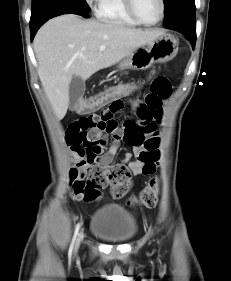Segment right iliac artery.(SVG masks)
Here are the masks:
<instances>
[{
    "mask_svg": "<svg viewBox=\"0 0 231 281\" xmlns=\"http://www.w3.org/2000/svg\"><path fill=\"white\" fill-rule=\"evenodd\" d=\"M80 226H81V223H78L75 227L74 235H73L72 242L70 244V248H69V252H68L69 258H71V256H72V252H73V249H74L76 238H77L78 233H79Z\"/></svg>",
    "mask_w": 231,
    "mask_h": 281,
    "instance_id": "82829eb1",
    "label": "right iliac artery"
}]
</instances>
